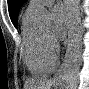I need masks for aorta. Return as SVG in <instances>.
Returning <instances> with one entry per match:
<instances>
[{"instance_id":"aorta-1","label":"aorta","mask_w":89,"mask_h":89,"mask_svg":"<svg viewBox=\"0 0 89 89\" xmlns=\"http://www.w3.org/2000/svg\"><path fill=\"white\" fill-rule=\"evenodd\" d=\"M68 4V46L65 56V72L63 89H76L81 66L83 27L79 0H67ZM36 22L42 26L51 23L50 13L43 6L39 7Z\"/></svg>"}]
</instances>
